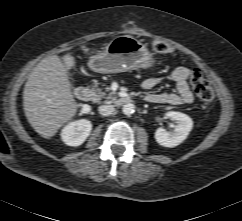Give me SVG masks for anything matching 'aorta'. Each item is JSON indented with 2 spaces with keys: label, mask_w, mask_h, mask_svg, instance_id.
<instances>
[{
  "label": "aorta",
  "mask_w": 242,
  "mask_h": 221,
  "mask_svg": "<svg viewBox=\"0 0 242 221\" xmlns=\"http://www.w3.org/2000/svg\"><path fill=\"white\" fill-rule=\"evenodd\" d=\"M122 112L125 115H131L135 112V106L132 103H126L122 107Z\"/></svg>",
  "instance_id": "1"
}]
</instances>
